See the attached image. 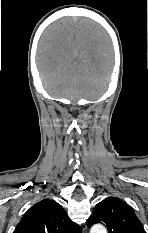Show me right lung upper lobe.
<instances>
[{"label": "right lung upper lobe", "mask_w": 148, "mask_h": 233, "mask_svg": "<svg viewBox=\"0 0 148 233\" xmlns=\"http://www.w3.org/2000/svg\"><path fill=\"white\" fill-rule=\"evenodd\" d=\"M13 233H81L56 201L44 199L32 206Z\"/></svg>", "instance_id": "obj_1"}]
</instances>
